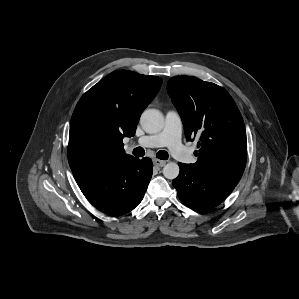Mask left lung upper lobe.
Returning <instances> with one entry per match:
<instances>
[{"instance_id":"5c2ea615","label":"left lung upper lobe","mask_w":299,"mask_h":299,"mask_svg":"<svg viewBox=\"0 0 299 299\" xmlns=\"http://www.w3.org/2000/svg\"><path fill=\"white\" fill-rule=\"evenodd\" d=\"M188 141L199 138L198 160L190 167L209 177L236 186L247 159L243 118L222 87L190 76H176L167 83Z\"/></svg>"}]
</instances>
